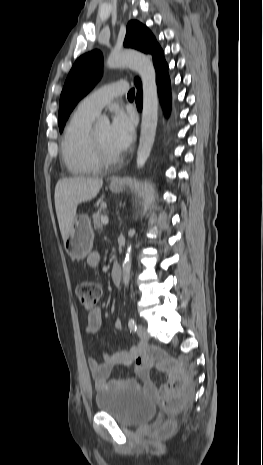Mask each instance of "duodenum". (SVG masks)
I'll use <instances>...</instances> for the list:
<instances>
[{
    "label": "duodenum",
    "mask_w": 263,
    "mask_h": 465,
    "mask_svg": "<svg viewBox=\"0 0 263 465\" xmlns=\"http://www.w3.org/2000/svg\"><path fill=\"white\" fill-rule=\"evenodd\" d=\"M112 280L115 285H119L122 279L121 268L117 263H114L111 268Z\"/></svg>",
    "instance_id": "410a0bca"
}]
</instances>
